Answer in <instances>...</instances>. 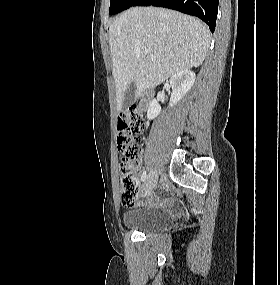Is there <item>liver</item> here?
Instances as JSON below:
<instances>
[{"mask_svg":"<svg viewBox=\"0 0 280 285\" xmlns=\"http://www.w3.org/2000/svg\"><path fill=\"white\" fill-rule=\"evenodd\" d=\"M211 35L200 20L177 11L154 7L130 8L109 28L117 111L135 83V99L181 70L200 66ZM144 49L156 60L149 59Z\"/></svg>","mask_w":280,"mask_h":285,"instance_id":"6515ba94","label":"liver"}]
</instances>
